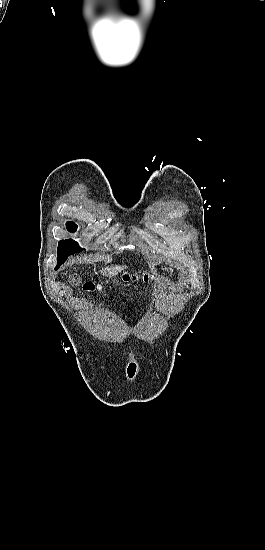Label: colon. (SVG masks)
Here are the masks:
<instances>
[{
	"label": "colon",
	"mask_w": 265,
	"mask_h": 550,
	"mask_svg": "<svg viewBox=\"0 0 265 550\" xmlns=\"http://www.w3.org/2000/svg\"><path fill=\"white\" fill-rule=\"evenodd\" d=\"M152 276L149 275V274H143V275H139V274H134V275H124L122 277V280L124 282H128V283H132L135 285L136 288H140L142 287L143 285L147 284L149 281L152 280ZM84 290L87 292V293H98L101 291V287L100 285L98 284H94V283H87L85 284L84 286Z\"/></svg>",
	"instance_id": "obj_1"
}]
</instances>
